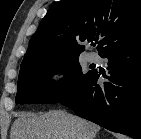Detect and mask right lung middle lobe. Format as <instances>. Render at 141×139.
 I'll return each mask as SVG.
<instances>
[{
    "instance_id": "1",
    "label": "right lung middle lobe",
    "mask_w": 141,
    "mask_h": 139,
    "mask_svg": "<svg viewBox=\"0 0 141 139\" xmlns=\"http://www.w3.org/2000/svg\"><path fill=\"white\" fill-rule=\"evenodd\" d=\"M93 72L83 74L78 58L20 69L16 104L60 103L73 94ZM53 73L65 75L57 85L48 83Z\"/></svg>"
}]
</instances>
